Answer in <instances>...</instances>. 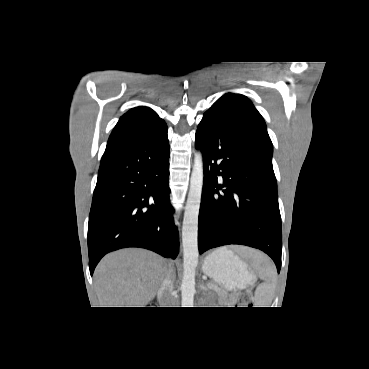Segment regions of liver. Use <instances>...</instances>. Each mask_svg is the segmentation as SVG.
I'll return each mask as SVG.
<instances>
[{
  "label": "liver",
  "mask_w": 369,
  "mask_h": 369,
  "mask_svg": "<svg viewBox=\"0 0 369 369\" xmlns=\"http://www.w3.org/2000/svg\"><path fill=\"white\" fill-rule=\"evenodd\" d=\"M246 254L251 249L242 248ZM169 262L153 252L128 248L106 255L94 277L103 307H145L156 296Z\"/></svg>",
  "instance_id": "6515ba94"
}]
</instances>
